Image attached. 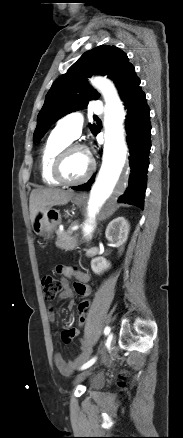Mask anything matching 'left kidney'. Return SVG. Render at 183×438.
I'll return each mask as SVG.
<instances>
[{
  "label": "left kidney",
  "instance_id": "1",
  "mask_svg": "<svg viewBox=\"0 0 183 438\" xmlns=\"http://www.w3.org/2000/svg\"><path fill=\"white\" fill-rule=\"evenodd\" d=\"M129 230L130 225L128 221L124 217H118L108 224L105 236L114 247L120 248L121 252L123 250V245L128 239ZM110 267V262L103 257H96L91 261V269L98 275L108 270Z\"/></svg>",
  "mask_w": 183,
  "mask_h": 438
}]
</instances>
